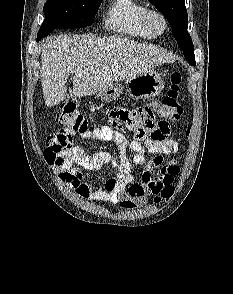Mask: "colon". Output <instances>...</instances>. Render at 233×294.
Here are the masks:
<instances>
[{"mask_svg":"<svg viewBox=\"0 0 233 294\" xmlns=\"http://www.w3.org/2000/svg\"><path fill=\"white\" fill-rule=\"evenodd\" d=\"M181 81L182 76L179 72H174L171 75V85L157 109L160 110V116L164 120H178L183 114V96L180 91ZM56 119L61 129L54 135L53 144L47 152V157L50 159L70 155L74 149L73 135L83 134L89 130L88 121L72 103L62 104ZM115 130L121 131V129ZM173 191V187L163 188L155 196V201L161 202L168 200L172 196Z\"/></svg>","mask_w":233,"mask_h":294,"instance_id":"obj_1","label":"colon"}]
</instances>
